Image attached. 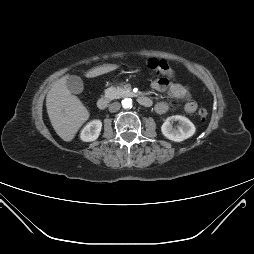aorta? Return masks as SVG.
I'll return each mask as SVG.
<instances>
[{"mask_svg": "<svg viewBox=\"0 0 254 254\" xmlns=\"http://www.w3.org/2000/svg\"><path fill=\"white\" fill-rule=\"evenodd\" d=\"M123 108H131L132 107V99L126 98L122 100Z\"/></svg>", "mask_w": 254, "mask_h": 254, "instance_id": "762f6f07", "label": "aorta"}]
</instances>
